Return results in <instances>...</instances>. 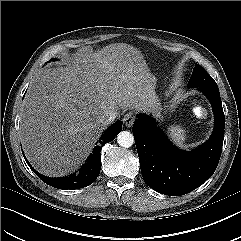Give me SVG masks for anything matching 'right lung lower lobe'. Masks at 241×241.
I'll list each match as a JSON object with an SVG mask.
<instances>
[{
    "instance_id": "right-lung-lower-lobe-1",
    "label": "right lung lower lobe",
    "mask_w": 241,
    "mask_h": 241,
    "mask_svg": "<svg viewBox=\"0 0 241 241\" xmlns=\"http://www.w3.org/2000/svg\"><path fill=\"white\" fill-rule=\"evenodd\" d=\"M122 130V122L117 121L112 126H110L105 133L101 136L98 144L94 147L89 159L82 166L79 172L72 174L67 177L60 178H50L38 173L27 161V164L33 170V172L46 184L58 188V189H78L86 187L92 184L99 175L101 170V149L102 147L114 140L115 136ZM24 155V154H23Z\"/></svg>"
}]
</instances>
